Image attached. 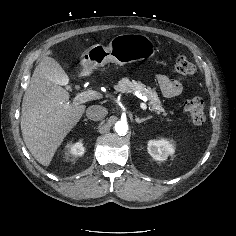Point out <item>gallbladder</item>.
I'll list each match as a JSON object with an SVG mask.
<instances>
[{
	"mask_svg": "<svg viewBox=\"0 0 236 236\" xmlns=\"http://www.w3.org/2000/svg\"><path fill=\"white\" fill-rule=\"evenodd\" d=\"M43 60L47 64L46 74L48 78L58 84L65 83L66 73L59 65V63L55 59L50 57H47Z\"/></svg>",
	"mask_w": 236,
	"mask_h": 236,
	"instance_id": "1",
	"label": "gallbladder"
}]
</instances>
